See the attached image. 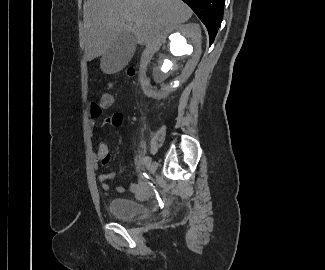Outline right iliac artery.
Instances as JSON below:
<instances>
[{
    "label": "right iliac artery",
    "instance_id": "right-iliac-artery-1",
    "mask_svg": "<svg viewBox=\"0 0 325 270\" xmlns=\"http://www.w3.org/2000/svg\"><path fill=\"white\" fill-rule=\"evenodd\" d=\"M150 160H151L150 157L146 156V157H144V158L142 159L141 162H142V164H148Z\"/></svg>",
    "mask_w": 325,
    "mask_h": 270
}]
</instances>
